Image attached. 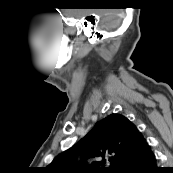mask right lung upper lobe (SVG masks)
I'll list each match as a JSON object with an SVG mask.
<instances>
[{"label":"right lung upper lobe","mask_w":173,"mask_h":173,"mask_svg":"<svg viewBox=\"0 0 173 173\" xmlns=\"http://www.w3.org/2000/svg\"><path fill=\"white\" fill-rule=\"evenodd\" d=\"M148 146L141 132L126 117L111 114L70 149L46 167V173H116L122 164ZM113 155L111 167H103L105 157ZM78 158H80L78 160ZM94 159L87 166L86 159Z\"/></svg>","instance_id":"obj_1"}]
</instances>
